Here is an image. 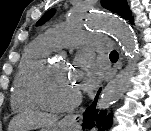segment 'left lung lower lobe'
<instances>
[{"label": "left lung lower lobe", "mask_w": 151, "mask_h": 131, "mask_svg": "<svg viewBox=\"0 0 151 131\" xmlns=\"http://www.w3.org/2000/svg\"><path fill=\"white\" fill-rule=\"evenodd\" d=\"M100 91L101 89L98 91L94 99V102L85 110L83 114V117H82L83 129L92 128L93 126H95L94 122H96L99 131L106 130L107 128L111 126L112 114H109L106 116V110H104V111H101L100 114L98 115V110H96L97 99H98Z\"/></svg>", "instance_id": "obj_1"}]
</instances>
